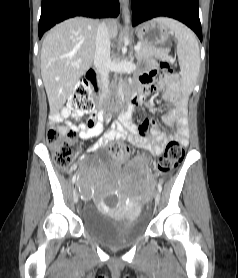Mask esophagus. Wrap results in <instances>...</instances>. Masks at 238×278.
Returning <instances> with one entry per match:
<instances>
[{"mask_svg": "<svg viewBox=\"0 0 238 278\" xmlns=\"http://www.w3.org/2000/svg\"><path fill=\"white\" fill-rule=\"evenodd\" d=\"M120 3L123 8V11H126L128 6V0H120Z\"/></svg>", "mask_w": 238, "mask_h": 278, "instance_id": "esophagus-1", "label": "esophagus"}]
</instances>
